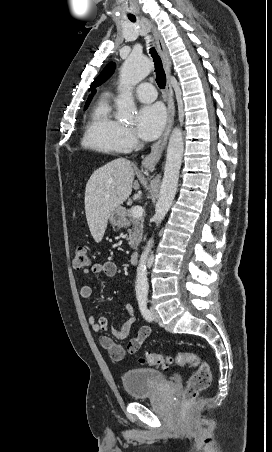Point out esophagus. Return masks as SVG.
<instances>
[{
	"label": "esophagus",
	"instance_id": "34e87169",
	"mask_svg": "<svg viewBox=\"0 0 272 452\" xmlns=\"http://www.w3.org/2000/svg\"><path fill=\"white\" fill-rule=\"evenodd\" d=\"M152 32L156 41V45L159 51V54L162 58L163 65L165 72L167 74V83H166V91H167V105H168V112H167V123L165 130L159 140L153 144L151 147V152L143 159L142 165L146 168H154L157 162L159 161L163 149L167 143L168 136L170 134V131L172 129L173 123H174V116H175V104H174V93L170 81L171 76V59L168 53V50L166 48V45L163 41V38L159 32V30L156 28L155 25L151 24Z\"/></svg>",
	"mask_w": 272,
	"mask_h": 452
}]
</instances>
